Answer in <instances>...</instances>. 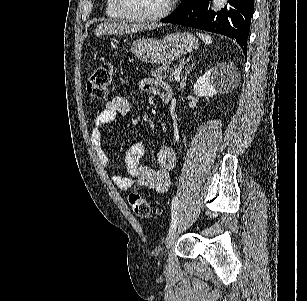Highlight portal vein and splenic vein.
I'll list each match as a JSON object with an SVG mask.
<instances>
[{
    "instance_id": "1",
    "label": "portal vein and splenic vein",
    "mask_w": 307,
    "mask_h": 301,
    "mask_svg": "<svg viewBox=\"0 0 307 301\" xmlns=\"http://www.w3.org/2000/svg\"><path fill=\"white\" fill-rule=\"evenodd\" d=\"M179 74H180V72H174V74H172V76H174L175 80H177V78H180Z\"/></svg>"
}]
</instances>
